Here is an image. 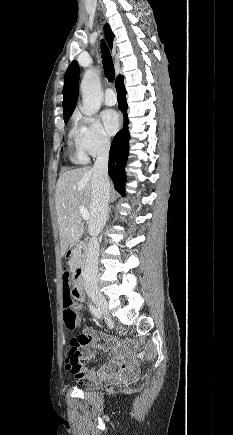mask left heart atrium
<instances>
[{"label": "left heart atrium", "mask_w": 233, "mask_h": 435, "mask_svg": "<svg viewBox=\"0 0 233 435\" xmlns=\"http://www.w3.org/2000/svg\"><path fill=\"white\" fill-rule=\"evenodd\" d=\"M101 119L106 131L109 134H113L117 131L119 127V117L116 111L113 109L104 110L101 113Z\"/></svg>", "instance_id": "1"}]
</instances>
